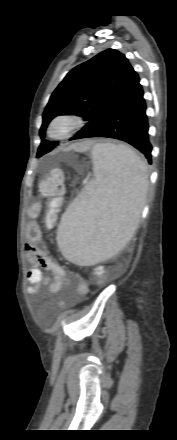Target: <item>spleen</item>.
<instances>
[{
	"label": "spleen",
	"mask_w": 177,
	"mask_h": 440,
	"mask_svg": "<svg viewBox=\"0 0 177 440\" xmlns=\"http://www.w3.org/2000/svg\"><path fill=\"white\" fill-rule=\"evenodd\" d=\"M92 159L95 180L68 206L57 229L63 256L78 265L107 260L127 245L147 190V166L129 147L96 144Z\"/></svg>",
	"instance_id": "obj_1"
}]
</instances>
